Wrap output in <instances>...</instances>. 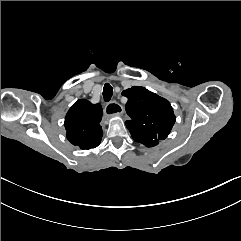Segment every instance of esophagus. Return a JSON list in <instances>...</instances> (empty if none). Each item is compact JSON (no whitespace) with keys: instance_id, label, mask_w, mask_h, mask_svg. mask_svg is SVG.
<instances>
[{"instance_id":"34e87169","label":"esophagus","mask_w":241,"mask_h":241,"mask_svg":"<svg viewBox=\"0 0 241 241\" xmlns=\"http://www.w3.org/2000/svg\"><path fill=\"white\" fill-rule=\"evenodd\" d=\"M122 113L123 107L115 100L108 102L104 108V114L108 117L113 115H121Z\"/></svg>"}]
</instances>
